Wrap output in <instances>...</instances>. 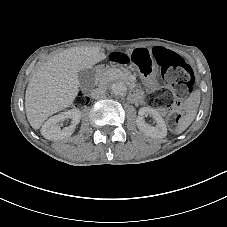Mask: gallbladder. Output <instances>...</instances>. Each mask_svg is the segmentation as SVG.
I'll return each instance as SVG.
<instances>
[{"mask_svg": "<svg viewBox=\"0 0 227 227\" xmlns=\"http://www.w3.org/2000/svg\"><path fill=\"white\" fill-rule=\"evenodd\" d=\"M95 73L96 72L93 67L79 70L78 78L81 87H91L94 83Z\"/></svg>", "mask_w": 227, "mask_h": 227, "instance_id": "obj_1", "label": "gallbladder"}]
</instances>
